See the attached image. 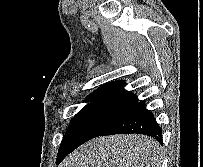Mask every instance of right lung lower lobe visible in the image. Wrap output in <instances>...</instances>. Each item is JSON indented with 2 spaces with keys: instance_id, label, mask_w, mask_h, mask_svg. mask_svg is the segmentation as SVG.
Instances as JSON below:
<instances>
[{
  "instance_id": "obj_1",
  "label": "right lung lower lobe",
  "mask_w": 203,
  "mask_h": 167,
  "mask_svg": "<svg viewBox=\"0 0 203 167\" xmlns=\"http://www.w3.org/2000/svg\"><path fill=\"white\" fill-rule=\"evenodd\" d=\"M131 133L148 135L162 143V129L153 114L145 108L144 101L137 102L101 136ZM69 153L71 152L61 145L57 155V163H60Z\"/></svg>"
}]
</instances>
